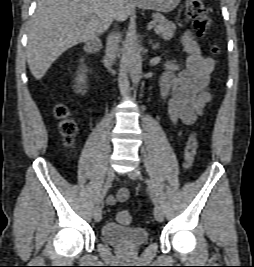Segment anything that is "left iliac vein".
Wrapping results in <instances>:
<instances>
[{"label": "left iliac vein", "mask_w": 254, "mask_h": 267, "mask_svg": "<svg viewBox=\"0 0 254 267\" xmlns=\"http://www.w3.org/2000/svg\"><path fill=\"white\" fill-rule=\"evenodd\" d=\"M128 176L132 180L139 179V174L137 170L129 171ZM154 217L158 222H162L164 220V214H163L162 208L158 204H156L154 207Z\"/></svg>", "instance_id": "left-iliac-vein-1"}]
</instances>
